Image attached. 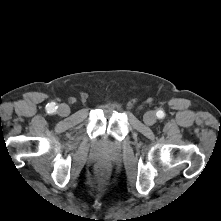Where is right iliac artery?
Listing matches in <instances>:
<instances>
[{"label": "right iliac artery", "instance_id": "82829eb1", "mask_svg": "<svg viewBox=\"0 0 221 221\" xmlns=\"http://www.w3.org/2000/svg\"><path fill=\"white\" fill-rule=\"evenodd\" d=\"M56 109H57V106H55L54 103H48V104L46 105V110H47V112L50 113V114L54 113V112L56 111Z\"/></svg>", "mask_w": 221, "mask_h": 221}]
</instances>
